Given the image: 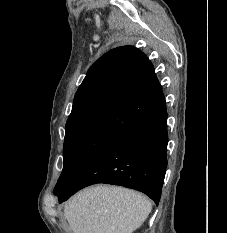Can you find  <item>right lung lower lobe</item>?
Segmentation results:
<instances>
[{
  "instance_id": "98d812e1",
  "label": "right lung lower lobe",
  "mask_w": 227,
  "mask_h": 233,
  "mask_svg": "<svg viewBox=\"0 0 227 233\" xmlns=\"http://www.w3.org/2000/svg\"><path fill=\"white\" fill-rule=\"evenodd\" d=\"M167 143L165 105L116 134L68 188L54 194L63 202L86 186L107 183L141 191L158 205L167 167Z\"/></svg>"
}]
</instances>
